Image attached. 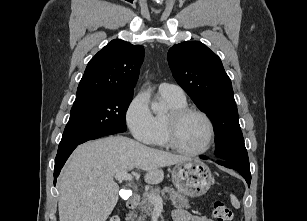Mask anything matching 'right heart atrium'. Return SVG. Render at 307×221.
Segmentation results:
<instances>
[{"instance_id":"d8ad5b80","label":"right heart atrium","mask_w":307,"mask_h":221,"mask_svg":"<svg viewBox=\"0 0 307 221\" xmlns=\"http://www.w3.org/2000/svg\"><path fill=\"white\" fill-rule=\"evenodd\" d=\"M125 120L135 139L142 143L152 144L154 116L144 93L137 94L129 102L125 111Z\"/></svg>"}]
</instances>
